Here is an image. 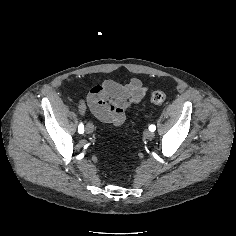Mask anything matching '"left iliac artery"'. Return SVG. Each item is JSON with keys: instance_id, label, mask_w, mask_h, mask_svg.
Segmentation results:
<instances>
[{"instance_id": "obj_1", "label": "left iliac artery", "mask_w": 236, "mask_h": 236, "mask_svg": "<svg viewBox=\"0 0 236 236\" xmlns=\"http://www.w3.org/2000/svg\"><path fill=\"white\" fill-rule=\"evenodd\" d=\"M149 130L154 132L156 130V126L155 125H150Z\"/></svg>"}]
</instances>
